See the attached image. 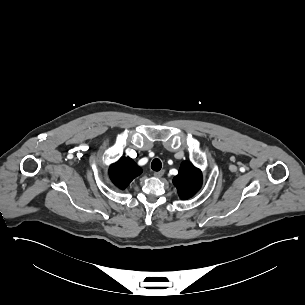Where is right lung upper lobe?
Returning a JSON list of instances; mask_svg holds the SVG:
<instances>
[{
	"label": "right lung upper lobe",
	"instance_id": "obj_1",
	"mask_svg": "<svg viewBox=\"0 0 305 305\" xmlns=\"http://www.w3.org/2000/svg\"><path fill=\"white\" fill-rule=\"evenodd\" d=\"M141 173L142 169L129 157L120 159L109 168L112 182L120 189H125Z\"/></svg>",
	"mask_w": 305,
	"mask_h": 305
}]
</instances>
